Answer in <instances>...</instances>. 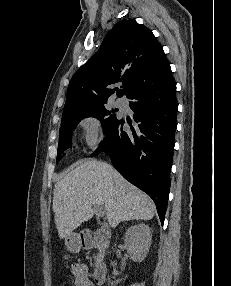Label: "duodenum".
Masks as SVG:
<instances>
[{"label": "duodenum", "instance_id": "duodenum-1", "mask_svg": "<svg viewBox=\"0 0 231 286\" xmlns=\"http://www.w3.org/2000/svg\"><path fill=\"white\" fill-rule=\"evenodd\" d=\"M109 244V236L104 232H84L80 235V245L83 249L98 247L104 251ZM107 276V266L103 260H99L94 269V281L103 284Z\"/></svg>", "mask_w": 231, "mask_h": 286}]
</instances>
